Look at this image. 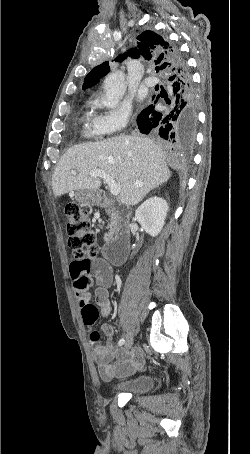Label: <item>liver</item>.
Listing matches in <instances>:
<instances>
[{"instance_id":"liver-1","label":"liver","mask_w":250,"mask_h":454,"mask_svg":"<svg viewBox=\"0 0 250 454\" xmlns=\"http://www.w3.org/2000/svg\"><path fill=\"white\" fill-rule=\"evenodd\" d=\"M94 169L103 170L116 181L119 200L126 205L138 204L171 176L160 145L149 138L121 135L69 148L52 176L54 195L97 190L100 178L89 175Z\"/></svg>"}]
</instances>
